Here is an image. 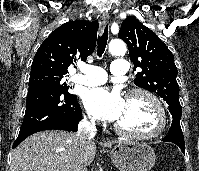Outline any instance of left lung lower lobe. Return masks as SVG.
I'll return each mask as SVG.
<instances>
[{
	"label": "left lung lower lobe",
	"mask_w": 199,
	"mask_h": 171,
	"mask_svg": "<svg viewBox=\"0 0 199 171\" xmlns=\"http://www.w3.org/2000/svg\"><path fill=\"white\" fill-rule=\"evenodd\" d=\"M163 141L172 142L176 144L184 153L185 143H184V136L180 126V119L173 118L168 135L163 138Z\"/></svg>",
	"instance_id": "1"
}]
</instances>
